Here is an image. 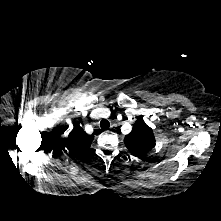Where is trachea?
I'll return each mask as SVG.
<instances>
[{"label":"trachea","instance_id":"trachea-1","mask_svg":"<svg viewBox=\"0 0 221 221\" xmlns=\"http://www.w3.org/2000/svg\"><path fill=\"white\" fill-rule=\"evenodd\" d=\"M100 127H101L103 130L109 129V127H110L109 121L106 120V119H103V120L100 122Z\"/></svg>","mask_w":221,"mask_h":221}]
</instances>
